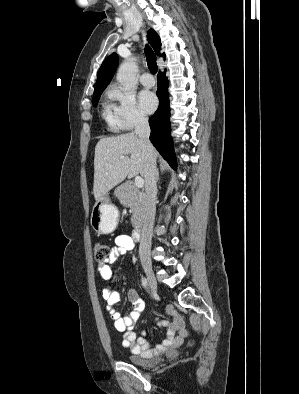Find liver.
Here are the masks:
<instances>
[{
	"instance_id": "1",
	"label": "liver",
	"mask_w": 299,
	"mask_h": 394,
	"mask_svg": "<svg viewBox=\"0 0 299 394\" xmlns=\"http://www.w3.org/2000/svg\"><path fill=\"white\" fill-rule=\"evenodd\" d=\"M155 159L158 152L153 148ZM130 155V157H129ZM145 157L135 133L102 138L95 147L93 193L101 200L126 177L144 176Z\"/></svg>"
}]
</instances>
